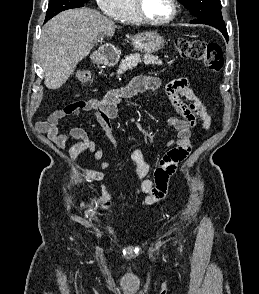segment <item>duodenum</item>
Instances as JSON below:
<instances>
[{
	"mask_svg": "<svg viewBox=\"0 0 259 294\" xmlns=\"http://www.w3.org/2000/svg\"><path fill=\"white\" fill-rule=\"evenodd\" d=\"M117 60V55L114 52L104 50L101 53V61L106 64H114Z\"/></svg>",
	"mask_w": 259,
	"mask_h": 294,
	"instance_id": "410a0bca",
	"label": "duodenum"
}]
</instances>
